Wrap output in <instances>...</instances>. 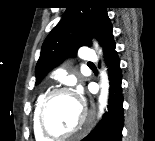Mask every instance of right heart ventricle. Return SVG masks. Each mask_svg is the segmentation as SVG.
<instances>
[{
  "mask_svg": "<svg viewBox=\"0 0 155 141\" xmlns=\"http://www.w3.org/2000/svg\"><path fill=\"white\" fill-rule=\"evenodd\" d=\"M43 96L44 95L42 94V95H40L38 97L37 102L35 104V108H34V112H33V117H32L34 136H35L37 141H45L47 139L40 132L39 127H38V122H37L38 108H39V105H40V102H41Z\"/></svg>",
  "mask_w": 155,
  "mask_h": 141,
  "instance_id": "obj_1",
  "label": "right heart ventricle"
}]
</instances>
